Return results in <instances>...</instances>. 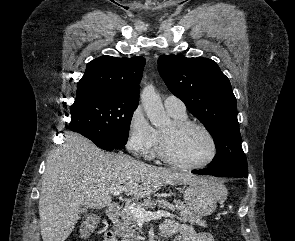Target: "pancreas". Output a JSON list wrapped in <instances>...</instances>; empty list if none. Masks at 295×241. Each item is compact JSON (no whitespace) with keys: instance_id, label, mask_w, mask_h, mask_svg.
I'll use <instances>...</instances> for the list:
<instances>
[{"instance_id":"cf45deb5","label":"pancreas","mask_w":295,"mask_h":241,"mask_svg":"<svg viewBox=\"0 0 295 241\" xmlns=\"http://www.w3.org/2000/svg\"><path fill=\"white\" fill-rule=\"evenodd\" d=\"M144 209L152 206H156L157 202H152L151 200H145L143 203L138 204ZM162 206L164 208H169L171 210H177L180 217L178 219L184 223H190L191 225H199L202 227H207L204 220L201 217L191 212L183 202L175 200L174 204L163 202ZM138 220L133 216L130 210L125 208L121 213V219L114 222L113 228L114 232L118 237L122 238V241H137L138 236Z\"/></svg>"}]
</instances>
